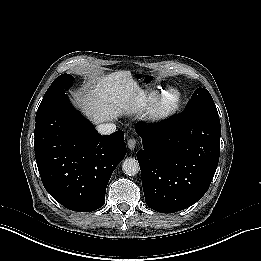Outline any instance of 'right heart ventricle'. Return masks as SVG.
I'll use <instances>...</instances> for the list:
<instances>
[{"label":"right heart ventricle","mask_w":261,"mask_h":261,"mask_svg":"<svg viewBox=\"0 0 261 261\" xmlns=\"http://www.w3.org/2000/svg\"><path fill=\"white\" fill-rule=\"evenodd\" d=\"M152 94H153V93H152ZM152 94L148 95V97L144 100V103H141V104L139 105V108H140V109H144L145 106L148 105L149 99H151V97H153Z\"/></svg>","instance_id":"obj_1"}]
</instances>
